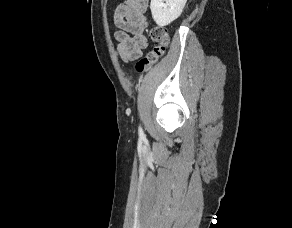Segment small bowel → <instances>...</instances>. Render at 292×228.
<instances>
[{
    "mask_svg": "<svg viewBox=\"0 0 292 228\" xmlns=\"http://www.w3.org/2000/svg\"><path fill=\"white\" fill-rule=\"evenodd\" d=\"M148 0H124L117 5L113 20L117 30V52L125 62L139 59L147 47L144 31L147 27L146 10Z\"/></svg>",
    "mask_w": 292,
    "mask_h": 228,
    "instance_id": "1",
    "label": "small bowel"
}]
</instances>
